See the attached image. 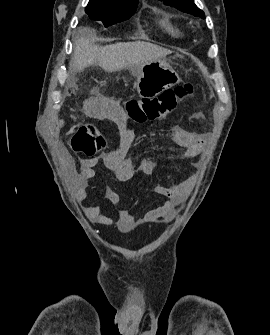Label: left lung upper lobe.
Instances as JSON below:
<instances>
[{"label":"left lung upper lobe","instance_id":"obj_1","mask_svg":"<svg viewBox=\"0 0 270 335\" xmlns=\"http://www.w3.org/2000/svg\"><path fill=\"white\" fill-rule=\"evenodd\" d=\"M164 4L173 6L183 12L205 18V14L193 2V0H164Z\"/></svg>","mask_w":270,"mask_h":335}]
</instances>
